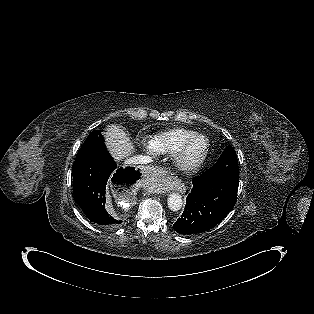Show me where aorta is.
Listing matches in <instances>:
<instances>
[{"mask_svg":"<svg viewBox=\"0 0 314 314\" xmlns=\"http://www.w3.org/2000/svg\"><path fill=\"white\" fill-rule=\"evenodd\" d=\"M167 203L171 211H179L183 205L182 197L179 193H171L167 199Z\"/></svg>","mask_w":314,"mask_h":314,"instance_id":"762f6f07","label":"aorta"}]
</instances>
